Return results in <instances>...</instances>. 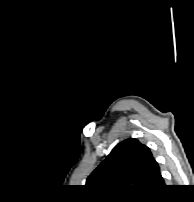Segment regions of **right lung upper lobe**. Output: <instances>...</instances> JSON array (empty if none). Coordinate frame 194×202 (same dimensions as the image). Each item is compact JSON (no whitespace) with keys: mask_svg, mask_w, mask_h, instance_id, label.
<instances>
[{"mask_svg":"<svg viewBox=\"0 0 194 202\" xmlns=\"http://www.w3.org/2000/svg\"><path fill=\"white\" fill-rule=\"evenodd\" d=\"M107 196H144L165 186L150 149L137 139L119 143L86 181Z\"/></svg>","mask_w":194,"mask_h":202,"instance_id":"obj_1","label":"right lung upper lobe"}]
</instances>
